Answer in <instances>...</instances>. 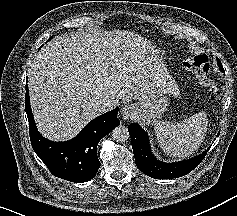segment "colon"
I'll return each mask as SVG.
<instances>
[{
  "label": "colon",
  "mask_w": 237,
  "mask_h": 216,
  "mask_svg": "<svg viewBox=\"0 0 237 216\" xmlns=\"http://www.w3.org/2000/svg\"><path fill=\"white\" fill-rule=\"evenodd\" d=\"M184 66L198 73L206 82H210V63L205 55L186 57Z\"/></svg>",
  "instance_id": "obj_1"
}]
</instances>
